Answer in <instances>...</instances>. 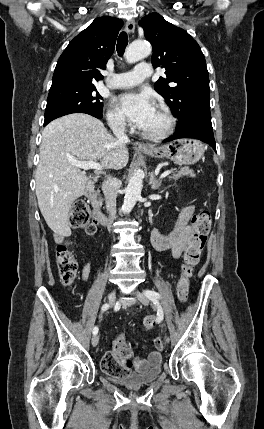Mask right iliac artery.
Listing matches in <instances>:
<instances>
[{
  "label": "right iliac artery",
  "instance_id": "obj_1",
  "mask_svg": "<svg viewBox=\"0 0 264 429\" xmlns=\"http://www.w3.org/2000/svg\"><path fill=\"white\" fill-rule=\"evenodd\" d=\"M108 308H109V304H104L103 306H102V308H101V310L102 311H106V310H108ZM98 333V327L97 326H95L94 328H93V334L95 335V334H97Z\"/></svg>",
  "mask_w": 264,
  "mask_h": 429
}]
</instances>
